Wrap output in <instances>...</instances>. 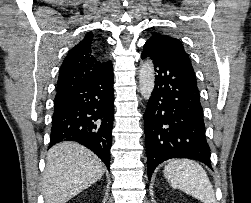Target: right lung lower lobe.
I'll use <instances>...</instances> for the list:
<instances>
[{"instance_id":"obj_1","label":"right lung lower lobe","mask_w":251,"mask_h":203,"mask_svg":"<svg viewBox=\"0 0 251 203\" xmlns=\"http://www.w3.org/2000/svg\"><path fill=\"white\" fill-rule=\"evenodd\" d=\"M114 119L113 69L55 98L49 148L76 141L92 150L110 168Z\"/></svg>"}]
</instances>
